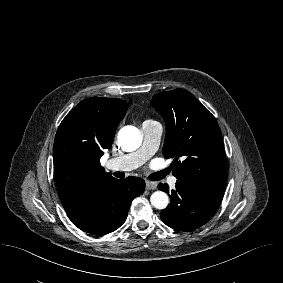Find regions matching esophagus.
<instances>
[{"instance_id": "obj_1", "label": "esophagus", "mask_w": 283, "mask_h": 283, "mask_svg": "<svg viewBox=\"0 0 283 283\" xmlns=\"http://www.w3.org/2000/svg\"><path fill=\"white\" fill-rule=\"evenodd\" d=\"M156 188H157V184L155 182L146 181L147 190H155Z\"/></svg>"}]
</instances>
